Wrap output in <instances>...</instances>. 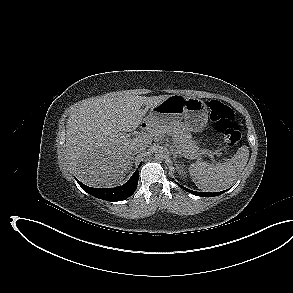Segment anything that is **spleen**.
Wrapping results in <instances>:
<instances>
[{"mask_svg": "<svg viewBox=\"0 0 293 293\" xmlns=\"http://www.w3.org/2000/svg\"><path fill=\"white\" fill-rule=\"evenodd\" d=\"M249 150L241 146L234 156L216 165L198 161L189 167V174L196 186L207 192H217L232 186L246 166Z\"/></svg>", "mask_w": 293, "mask_h": 293, "instance_id": "obj_1", "label": "spleen"}]
</instances>
